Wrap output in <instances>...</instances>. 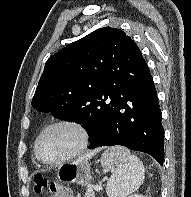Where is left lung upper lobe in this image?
I'll list each match as a JSON object with an SVG mask.
<instances>
[{
    "mask_svg": "<svg viewBox=\"0 0 191 197\" xmlns=\"http://www.w3.org/2000/svg\"><path fill=\"white\" fill-rule=\"evenodd\" d=\"M144 68L141 51L122 30L97 29L48 59L32 106L88 131V118L118 88L121 77Z\"/></svg>",
    "mask_w": 191,
    "mask_h": 197,
    "instance_id": "5c2ea615",
    "label": "left lung upper lobe"
}]
</instances>
